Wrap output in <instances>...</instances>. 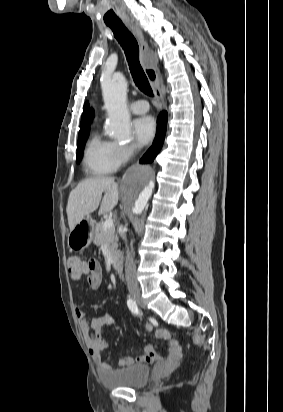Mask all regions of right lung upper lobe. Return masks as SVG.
Masks as SVG:
<instances>
[{
  "label": "right lung upper lobe",
  "instance_id": "obj_1",
  "mask_svg": "<svg viewBox=\"0 0 283 412\" xmlns=\"http://www.w3.org/2000/svg\"><path fill=\"white\" fill-rule=\"evenodd\" d=\"M93 115V110H89V104L86 102L83 108L79 136L89 133V116Z\"/></svg>",
  "mask_w": 283,
  "mask_h": 412
}]
</instances>
